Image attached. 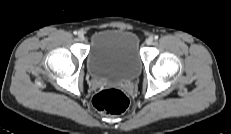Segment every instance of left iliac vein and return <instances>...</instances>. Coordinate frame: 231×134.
<instances>
[{
  "label": "left iliac vein",
  "mask_w": 231,
  "mask_h": 134,
  "mask_svg": "<svg viewBox=\"0 0 231 134\" xmlns=\"http://www.w3.org/2000/svg\"><path fill=\"white\" fill-rule=\"evenodd\" d=\"M153 37H149L147 40H146V43L148 44V45H151L152 43H153Z\"/></svg>",
  "instance_id": "4c4485c4"
}]
</instances>
